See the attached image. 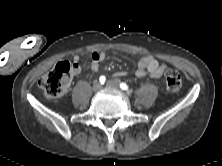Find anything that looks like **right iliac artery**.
Instances as JSON below:
<instances>
[{
    "instance_id": "1",
    "label": "right iliac artery",
    "mask_w": 222,
    "mask_h": 166,
    "mask_svg": "<svg viewBox=\"0 0 222 166\" xmlns=\"http://www.w3.org/2000/svg\"><path fill=\"white\" fill-rule=\"evenodd\" d=\"M99 81H100L101 84H104L105 81H106L105 76H100Z\"/></svg>"
}]
</instances>
